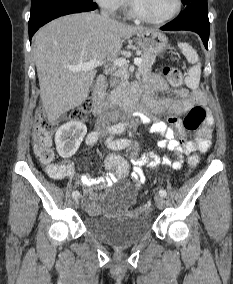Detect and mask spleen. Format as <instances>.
<instances>
[{
	"mask_svg": "<svg viewBox=\"0 0 233 284\" xmlns=\"http://www.w3.org/2000/svg\"><path fill=\"white\" fill-rule=\"evenodd\" d=\"M179 48L186 57L187 61L194 66L188 71V76L185 79L187 87L196 89L199 86L200 75H201V64L199 62V56L197 52L187 43H179Z\"/></svg>",
	"mask_w": 233,
	"mask_h": 284,
	"instance_id": "3e777b00",
	"label": "spleen"
}]
</instances>
